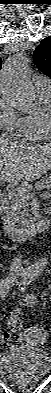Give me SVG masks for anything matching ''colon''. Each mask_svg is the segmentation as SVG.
I'll return each mask as SVG.
<instances>
[{"mask_svg":"<svg viewBox=\"0 0 51 393\" xmlns=\"http://www.w3.org/2000/svg\"><path fill=\"white\" fill-rule=\"evenodd\" d=\"M8 325H9L10 329H12L14 331H18L22 327V319L17 315L11 316L9 319ZM37 331H39V329L32 328L31 330H29L30 333H34Z\"/></svg>","mask_w":51,"mask_h":393,"instance_id":"colon-1","label":"colon"}]
</instances>
